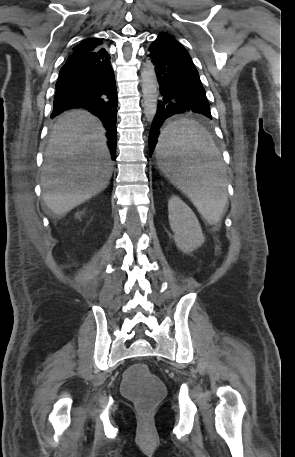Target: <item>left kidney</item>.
I'll list each match as a JSON object with an SVG mask.
<instances>
[{"label": "left kidney", "instance_id": "obj_1", "mask_svg": "<svg viewBox=\"0 0 295 457\" xmlns=\"http://www.w3.org/2000/svg\"><path fill=\"white\" fill-rule=\"evenodd\" d=\"M168 218L176 246L184 253H190L204 243L201 226L194 212L179 197L173 196L168 202Z\"/></svg>", "mask_w": 295, "mask_h": 457}]
</instances>
